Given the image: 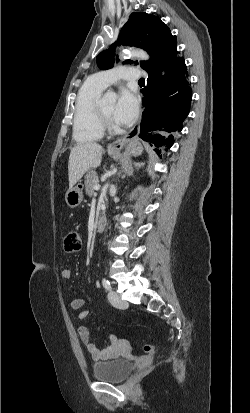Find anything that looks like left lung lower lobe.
<instances>
[{
	"mask_svg": "<svg viewBox=\"0 0 250 413\" xmlns=\"http://www.w3.org/2000/svg\"><path fill=\"white\" fill-rule=\"evenodd\" d=\"M147 86L141 90L145 107L139 137L168 150L174 143L172 134L182 129L189 114L192 90L187 66L177 52L176 44L157 47L148 70Z\"/></svg>",
	"mask_w": 250,
	"mask_h": 413,
	"instance_id": "obj_1",
	"label": "left lung lower lobe"
}]
</instances>
